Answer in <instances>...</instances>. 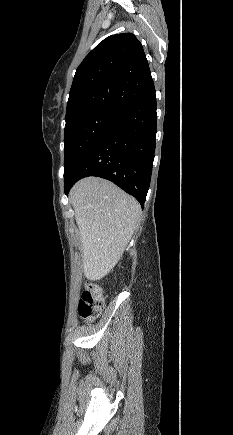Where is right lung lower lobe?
I'll list each match as a JSON object with an SVG mask.
<instances>
[{
	"instance_id": "obj_1",
	"label": "right lung lower lobe",
	"mask_w": 233,
	"mask_h": 435,
	"mask_svg": "<svg viewBox=\"0 0 233 435\" xmlns=\"http://www.w3.org/2000/svg\"><path fill=\"white\" fill-rule=\"evenodd\" d=\"M157 130L154 84L124 109L64 178L65 194L81 178L114 182L144 206L149 189Z\"/></svg>"
}]
</instances>
